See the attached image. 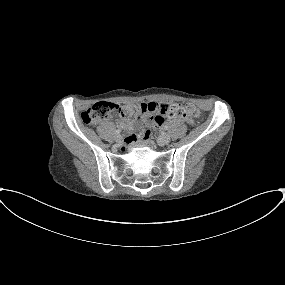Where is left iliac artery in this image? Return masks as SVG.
Returning a JSON list of instances; mask_svg holds the SVG:
<instances>
[{"label":"left iliac artery","mask_w":285,"mask_h":285,"mask_svg":"<svg viewBox=\"0 0 285 285\" xmlns=\"http://www.w3.org/2000/svg\"><path fill=\"white\" fill-rule=\"evenodd\" d=\"M164 129L167 130V129H168V126H164Z\"/></svg>","instance_id":"obj_1"}]
</instances>
